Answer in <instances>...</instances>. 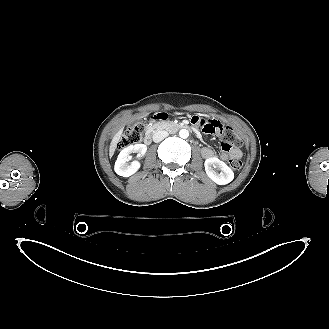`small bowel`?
I'll use <instances>...</instances> for the list:
<instances>
[{
  "instance_id": "1",
  "label": "small bowel",
  "mask_w": 329,
  "mask_h": 329,
  "mask_svg": "<svg viewBox=\"0 0 329 329\" xmlns=\"http://www.w3.org/2000/svg\"><path fill=\"white\" fill-rule=\"evenodd\" d=\"M185 119L187 121H190L192 125H194L196 128L202 130L206 134H217L222 129L226 127V124L224 122H218L217 120H211L208 117H204L203 115L199 114H187L185 116ZM202 155L204 158H212L214 157V151L211 148L205 147L202 149ZM241 151L239 149H229V150H223L220 153L219 158L221 160H226L229 157H240Z\"/></svg>"
}]
</instances>
